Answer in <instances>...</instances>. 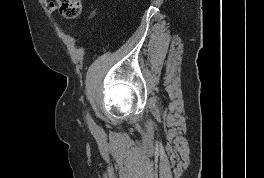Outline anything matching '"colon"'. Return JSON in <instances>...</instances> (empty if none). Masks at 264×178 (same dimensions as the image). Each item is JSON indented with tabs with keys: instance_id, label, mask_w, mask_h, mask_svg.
Returning a JSON list of instances; mask_svg holds the SVG:
<instances>
[{
	"instance_id": "1",
	"label": "colon",
	"mask_w": 264,
	"mask_h": 178,
	"mask_svg": "<svg viewBox=\"0 0 264 178\" xmlns=\"http://www.w3.org/2000/svg\"><path fill=\"white\" fill-rule=\"evenodd\" d=\"M60 14L65 18H76L81 13L80 0H55Z\"/></svg>"
}]
</instances>
